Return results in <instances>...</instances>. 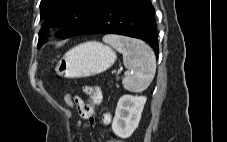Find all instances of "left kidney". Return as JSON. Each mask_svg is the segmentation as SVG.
I'll return each instance as SVG.
<instances>
[{
	"label": "left kidney",
	"instance_id": "left-kidney-1",
	"mask_svg": "<svg viewBox=\"0 0 227 142\" xmlns=\"http://www.w3.org/2000/svg\"><path fill=\"white\" fill-rule=\"evenodd\" d=\"M145 96L123 95L117 103L112 130L120 138L130 137L138 127L146 103Z\"/></svg>",
	"mask_w": 227,
	"mask_h": 142
}]
</instances>
